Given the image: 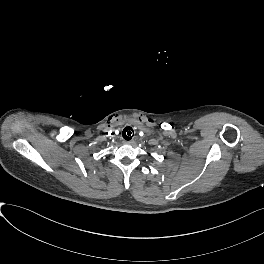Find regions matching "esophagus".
<instances>
[{"instance_id":"1","label":"esophagus","mask_w":264,"mask_h":264,"mask_svg":"<svg viewBox=\"0 0 264 264\" xmlns=\"http://www.w3.org/2000/svg\"><path fill=\"white\" fill-rule=\"evenodd\" d=\"M125 143H126V144H130V143H131V141H125Z\"/></svg>"}]
</instances>
